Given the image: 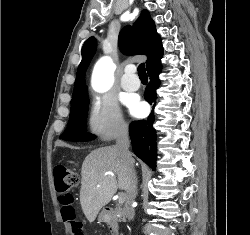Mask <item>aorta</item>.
<instances>
[{"mask_svg": "<svg viewBox=\"0 0 250 235\" xmlns=\"http://www.w3.org/2000/svg\"><path fill=\"white\" fill-rule=\"evenodd\" d=\"M114 66L109 58H103L97 64L93 82L99 88H105L113 80Z\"/></svg>", "mask_w": 250, "mask_h": 235, "instance_id": "762f6f07", "label": "aorta"}]
</instances>
